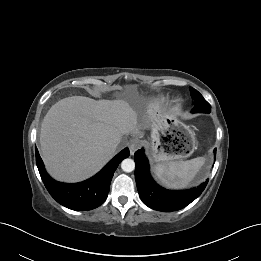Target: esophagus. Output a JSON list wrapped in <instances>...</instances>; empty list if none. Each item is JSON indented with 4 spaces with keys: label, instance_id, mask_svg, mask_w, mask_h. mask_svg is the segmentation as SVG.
Returning <instances> with one entry per match:
<instances>
[{
    "label": "esophagus",
    "instance_id": "1",
    "mask_svg": "<svg viewBox=\"0 0 261 261\" xmlns=\"http://www.w3.org/2000/svg\"><path fill=\"white\" fill-rule=\"evenodd\" d=\"M142 145V141L139 138H134L129 145L130 153L134 154Z\"/></svg>",
    "mask_w": 261,
    "mask_h": 261
}]
</instances>
